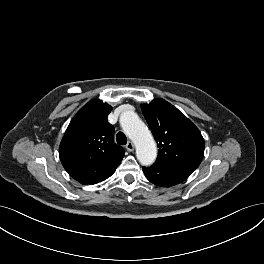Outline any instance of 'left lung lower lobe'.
Instances as JSON below:
<instances>
[{"label": "left lung lower lobe", "instance_id": "0a47b994", "mask_svg": "<svg viewBox=\"0 0 264 264\" xmlns=\"http://www.w3.org/2000/svg\"><path fill=\"white\" fill-rule=\"evenodd\" d=\"M146 178L161 187H171L186 180L194 170L181 165L156 161L150 167H142Z\"/></svg>", "mask_w": 264, "mask_h": 264}]
</instances>
